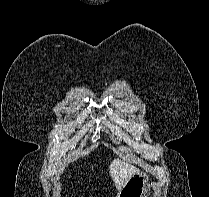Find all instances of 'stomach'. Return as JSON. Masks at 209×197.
<instances>
[{"instance_id":"0dacf381","label":"stomach","mask_w":209,"mask_h":197,"mask_svg":"<svg viewBox=\"0 0 209 197\" xmlns=\"http://www.w3.org/2000/svg\"><path fill=\"white\" fill-rule=\"evenodd\" d=\"M149 177L143 172L130 177L119 189L116 197H146Z\"/></svg>"}]
</instances>
